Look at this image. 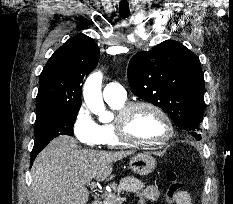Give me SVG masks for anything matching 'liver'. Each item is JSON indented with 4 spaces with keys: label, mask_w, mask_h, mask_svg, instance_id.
<instances>
[{
    "label": "liver",
    "mask_w": 233,
    "mask_h": 204,
    "mask_svg": "<svg viewBox=\"0 0 233 204\" xmlns=\"http://www.w3.org/2000/svg\"><path fill=\"white\" fill-rule=\"evenodd\" d=\"M132 153L80 149L74 138L58 136L38 154L31 169L36 204H86V185L93 179L108 180L113 162Z\"/></svg>",
    "instance_id": "obj_1"
}]
</instances>
